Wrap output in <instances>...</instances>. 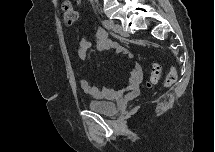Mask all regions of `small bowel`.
I'll return each instance as SVG.
<instances>
[{"mask_svg":"<svg viewBox=\"0 0 215 152\" xmlns=\"http://www.w3.org/2000/svg\"><path fill=\"white\" fill-rule=\"evenodd\" d=\"M92 46V43L86 39H82L80 46L77 51V57L80 60H85L87 57V52ZM95 46L99 51L104 50H115L117 53L126 55L129 58H133L132 52L120 45L119 43L111 40L108 36L106 30L99 28L95 32ZM143 75L140 65L134 62L129 75V78L123 88L120 90H112L106 87L98 89L92 86L89 81L85 78L80 80V86L82 90L95 98L112 100L119 97H133L138 94L140 89V84L142 83Z\"/></svg>","mask_w":215,"mask_h":152,"instance_id":"small-bowel-1","label":"small bowel"}]
</instances>
